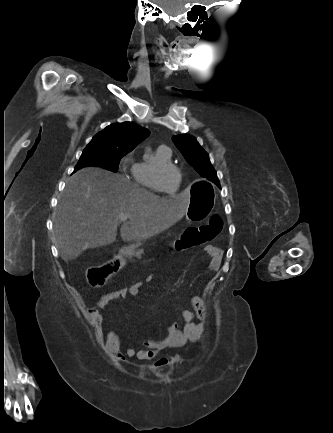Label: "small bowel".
Here are the masks:
<instances>
[{"mask_svg":"<svg viewBox=\"0 0 333 433\" xmlns=\"http://www.w3.org/2000/svg\"><path fill=\"white\" fill-rule=\"evenodd\" d=\"M204 250L212 257L210 268L216 271L219 268L222 258V251L213 245H207ZM153 275H147L144 282H151ZM144 282H136L126 288H121L102 295L95 307L90 308L88 313L90 321L95 329V334L98 342L103 347L104 351L116 363H123L127 358H136L138 360H152L157 357V353L167 348H179L188 342L198 341L204 330L203 321L208 316V306L206 301L197 295L189 296L186 299L187 307H180V314L183 319L182 326L169 324L165 328L164 335L161 338L153 336H144L139 340L141 349L136 350L132 346H128L122 351V340L120 336L112 330H109L106 337L103 336L102 324L111 323L110 319H105L103 312L106 306L117 299H124L127 296H137ZM209 294V290L205 291V295Z\"/></svg>","mask_w":333,"mask_h":433,"instance_id":"1","label":"small bowel"}]
</instances>
